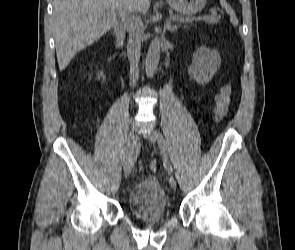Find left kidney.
Wrapping results in <instances>:
<instances>
[{"label": "left kidney", "instance_id": "5707ae66", "mask_svg": "<svg viewBox=\"0 0 295 250\" xmlns=\"http://www.w3.org/2000/svg\"><path fill=\"white\" fill-rule=\"evenodd\" d=\"M221 65V57L218 51L201 47L193 54L192 65L188 68V74L198 83H208Z\"/></svg>", "mask_w": 295, "mask_h": 250}]
</instances>
